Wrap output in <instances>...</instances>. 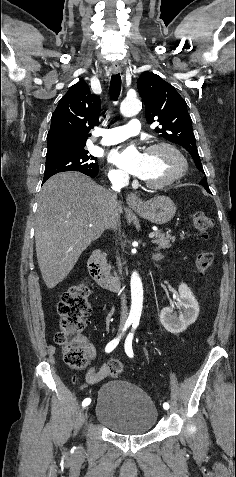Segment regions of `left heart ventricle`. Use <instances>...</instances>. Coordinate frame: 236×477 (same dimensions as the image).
Masks as SVG:
<instances>
[{"instance_id": "left-heart-ventricle-1", "label": "left heart ventricle", "mask_w": 236, "mask_h": 477, "mask_svg": "<svg viewBox=\"0 0 236 477\" xmlns=\"http://www.w3.org/2000/svg\"><path fill=\"white\" fill-rule=\"evenodd\" d=\"M180 169L179 160L167 149L161 148L146 153L143 179L160 182Z\"/></svg>"}]
</instances>
